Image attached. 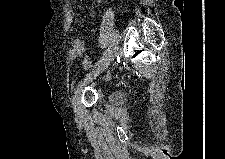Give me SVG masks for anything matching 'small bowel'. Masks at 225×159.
Wrapping results in <instances>:
<instances>
[{"instance_id": "1", "label": "small bowel", "mask_w": 225, "mask_h": 159, "mask_svg": "<svg viewBox=\"0 0 225 159\" xmlns=\"http://www.w3.org/2000/svg\"><path fill=\"white\" fill-rule=\"evenodd\" d=\"M70 16L72 18V16H73L72 12H70ZM84 52H85V42L80 38L74 39V41L72 43V47L69 51L70 57L72 59H75V58L81 56Z\"/></svg>"}]
</instances>
